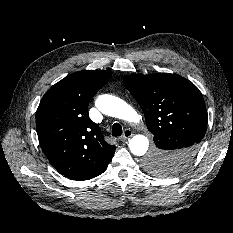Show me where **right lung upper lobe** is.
I'll list each match as a JSON object with an SVG mask.
<instances>
[{
  "label": "right lung upper lobe",
  "instance_id": "cb5924a9",
  "mask_svg": "<svg viewBox=\"0 0 233 233\" xmlns=\"http://www.w3.org/2000/svg\"><path fill=\"white\" fill-rule=\"evenodd\" d=\"M111 78L105 70L73 73L43 96L36 112L39 142L53 167L70 179L101 174L116 147L87 115L90 100Z\"/></svg>",
  "mask_w": 233,
  "mask_h": 233
}]
</instances>
